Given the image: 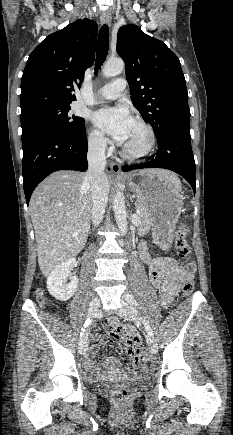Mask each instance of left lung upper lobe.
<instances>
[{"label":"left lung upper lobe","mask_w":233,"mask_h":435,"mask_svg":"<svg viewBox=\"0 0 233 435\" xmlns=\"http://www.w3.org/2000/svg\"><path fill=\"white\" fill-rule=\"evenodd\" d=\"M117 52L125 62L133 105L160 138L190 126L185 77L178 57L166 44L136 25L122 26Z\"/></svg>","instance_id":"left-lung-upper-lobe-1"}]
</instances>
